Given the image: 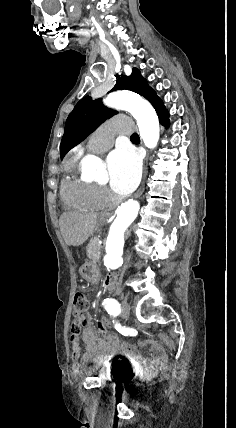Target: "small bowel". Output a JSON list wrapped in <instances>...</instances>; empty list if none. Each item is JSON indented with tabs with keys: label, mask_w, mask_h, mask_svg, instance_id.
Returning a JSON list of instances; mask_svg holds the SVG:
<instances>
[{
	"label": "small bowel",
	"mask_w": 236,
	"mask_h": 428,
	"mask_svg": "<svg viewBox=\"0 0 236 428\" xmlns=\"http://www.w3.org/2000/svg\"><path fill=\"white\" fill-rule=\"evenodd\" d=\"M106 288L112 290L114 287ZM81 342L85 345V353L81 354ZM147 343L140 341L139 347L146 346ZM150 356L144 357L138 353V348L124 339L107 334L105 327L97 324L95 326L92 318L88 315L84 317L83 331L79 335H71L72 358L77 361L82 359L85 362L105 361L111 359L125 360L126 363L137 370H146L163 364L166 356L162 347L154 342L149 343Z\"/></svg>",
	"instance_id": "1"
}]
</instances>
